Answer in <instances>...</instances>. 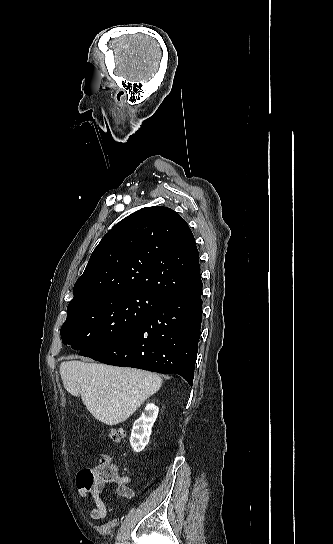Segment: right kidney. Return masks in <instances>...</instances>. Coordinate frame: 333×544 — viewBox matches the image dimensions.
Listing matches in <instances>:
<instances>
[{
  "mask_svg": "<svg viewBox=\"0 0 333 544\" xmlns=\"http://www.w3.org/2000/svg\"><path fill=\"white\" fill-rule=\"evenodd\" d=\"M159 408L148 403L144 412L141 414L134 424L130 436V444L134 452L139 453L144 450L149 443L152 427L157 419Z\"/></svg>",
  "mask_w": 333,
  "mask_h": 544,
  "instance_id": "right-kidney-1",
  "label": "right kidney"
}]
</instances>
